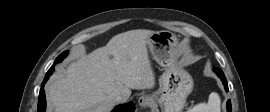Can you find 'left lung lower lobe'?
Segmentation results:
<instances>
[{"instance_id":"1","label":"left lung lower lobe","mask_w":270,"mask_h":112,"mask_svg":"<svg viewBox=\"0 0 270 112\" xmlns=\"http://www.w3.org/2000/svg\"><path fill=\"white\" fill-rule=\"evenodd\" d=\"M214 72L218 75V77L222 80V83L224 85V88L226 91H229L227 80L225 78L224 73L219 68H213ZM227 112H231V101H227Z\"/></svg>"}]
</instances>
